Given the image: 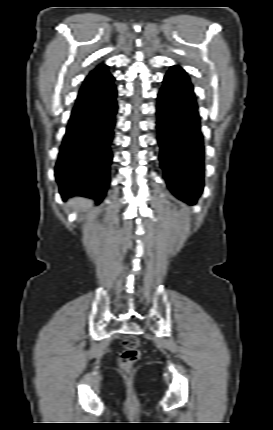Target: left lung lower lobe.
<instances>
[{
    "mask_svg": "<svg viewBox=\"0 0 273 430\" xmlns=\"http://www.w3.org/2000/svg\"><path fill=\"white\" fill-rule=\"evenodd\" d=\"M187 74L171 68L165 75L157 106L160 162L171 192L195 204L204 186V147L198 105Z\"/></svg>",
    "mask_w": 273,
    "mask_h": 430,
    "instance_id": "0a47b994",
    "label": "left lung lower lobe"
}]
</instances>
